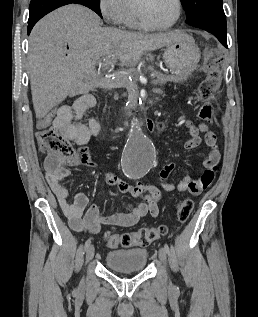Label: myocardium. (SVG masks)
Wrapping results in <instances>:
<instances>
[{"label":"myocardium","instance_id":"myocardium-1","mask_svg":"<svg viewBox=\"0 0 258 317\" xmlns=\"http://www.w3.org/2000/svg\"><path fill=\"white\" fill-rule=\"evenodd\" d=\"M154 0H140L137 8H136V20H137V25L139 29L147 31V32H156V31H164L167 29L172 28L173 26L176 25V23L179 21L182 13V4L180 0H173L177 6V14L175 19L168 25L164 26H156L152 27L147 25L145 19H144V11L147 8V6L153 2Z\"/></svg>","mask_w":258,"mask_h":317}]
</instances>
